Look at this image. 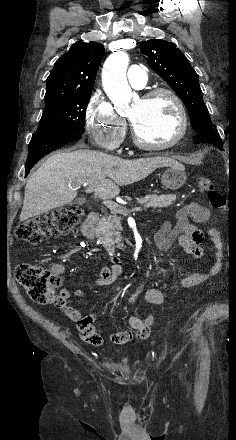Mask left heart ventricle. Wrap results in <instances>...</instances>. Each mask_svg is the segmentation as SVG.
Here are the masks:
<instances>
[{
  "label": "left heart ventricle",
  "instance_id": "left-heart-ventricle-1",
  "mask_svg": "<svg viewBox=\"0 0 236 440\" xmlns=\"http://www.w3.org/2000/svg\"><path fill=\"white\" fill-rule=\"evenodd\" d=\"M128 118L146 142L162 144L170 141L179 129V116L172 100L165 95L148 101L139 99Z\"/></svg>",
  "mask_w": 236,
  "mask_h": 440
}]
</instances>
